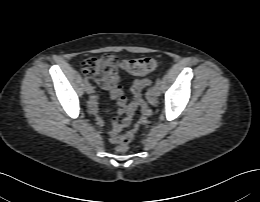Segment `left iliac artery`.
Wrapping results in <instances>:
<instances>
[{
  "mask_svg": "<svg viewBox=\"0 0 260 202\" xmlns=\"http://www.w3.org/2000/svg\"><path fill=\"white\" fill-rule=\"evenodd\" d=\"M156 84H157V85H160V84H161V79H160V78H158V79L156 80Z\"/></svg>",
  "mask_w": 260,
  "mask_h": 202,
  "instance_id": "left-iliac-artery-1",
  "label": "left iliac artery"
}]
</instances>
